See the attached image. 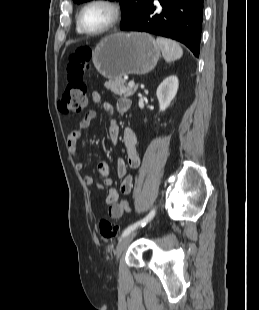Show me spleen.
<instances>
[{"mask_svg":"<svg viewBox=\"0 0 259 310\" xmlns=\"http://www.w3.org/2000/svg\"><path fill=\"white\" fill-rule=\"evenodd\" d=\"M156 43L160 47L163 58L165 59L167 63L178 60L183 55V50L181 46L173 40L166 39L163 37H158L156 39Z\"/></svg>","mask_w":259,"mask_h":310,"instance_id":"3e777b00","label":"spleen"}]
</instances>
